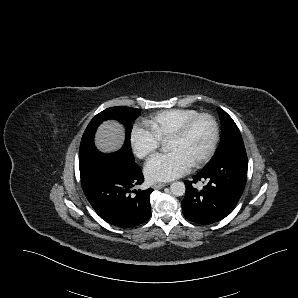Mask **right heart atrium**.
I'll return each instance as SVG.
<instances>
[{
    "label": "right heart atrium",
    "instance_id": "right-heart-atrium-1",
    "mask_svg": "<svg viewBox=\"0 0 298 298\" xmlns=\"http://www.w3.org/2000/svg\"><path fill=\"white\" fill-rule=\"evenodd\" d=\"M130 141L134 153L140 158L147 157L161 145V140L151 130L137 124L131 128Z\"/></svg>",
    "mask_w": 298,
    "mask_h": 298
}]
</instances>
